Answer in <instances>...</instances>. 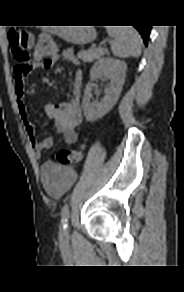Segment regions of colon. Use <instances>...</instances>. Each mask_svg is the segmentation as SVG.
<instances>
[{"label": "colon", "mask_w": 184, "mask_h": 292, "mask_svg": "<svg viewBox=\"0 0 184 292\" xmlns=\"http://www.w3.org/2000/svg\"><path fill=\"white\" fill-rule=\"evenodd\" d=\"M32 42L29 33L13 28L9 32V43L11 53L16 61L15 69L20 73L29 71L28 48ZM56 46L51 37L41 36L35 46V53L38 58L51 56L55 52ZM83 157V148L78 150L62 149L57 153V160L61 165H70L80 161Z\"/></svg>", "instance_id": "obj_1"}]
</instances>
